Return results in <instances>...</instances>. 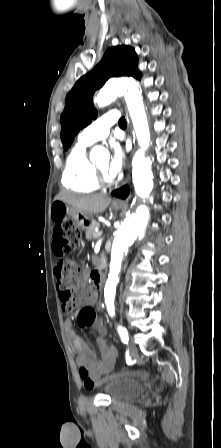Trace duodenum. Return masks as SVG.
<instances>
[{
    "label": "duodenum",
    "mask_w": 221,
    "mask_h": 448,
    "mask_svg": "<svg viewBox=\"0 0 221 448\" xmlns=\"http://www.w3.org/2000/svg\"><path fill=\"white\" fill-rule=\"evenodd\" d=\"M91 278L94 282V284L96 285V287L100 288L103 286L104 282H105V277H104V273L103 270H98V271H94L91 274Z\"/></svg>",
    "instance_id": "duodenum-1"
}]
</instances>
